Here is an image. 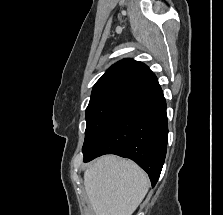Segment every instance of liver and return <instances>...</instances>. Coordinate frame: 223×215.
I'll return each instance as SVG.
<instances>
[{
    "instance_id": "liver-1",
    "label": "liver",
    "mask_w": 223,
    "mask_h": 215,
    "mask_svg": "<svg viewBox=\"0 0 223 215\" xmlns=\"http://www.w3.org/2000/svg\"><path fill=\"white\" fill-rule=\"evenodd\" d=\"M84 185L96 215H132L150 181L131 159L102 155L84 171Z\"/></svg>"
}]
</instances>
